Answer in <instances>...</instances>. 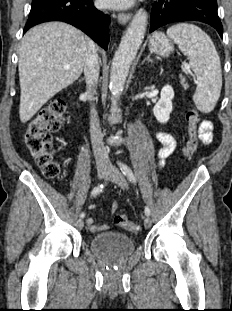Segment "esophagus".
I'll list each match as a JSON object with an SVG mask.
<instances>
[{
	"mask_svg": "<svg viewBox=\"0 0 232 311\" xmlns=\"http://www.w3.org/2000/svg\"><path fill=\"white\" fill-rule=\"evenodd\" d=\"M131 16H132V14L129 12L128 13L123 12V13H119L117 18H118V21L121 25H125L131 19Z\"/></svg>",
	"mask_w": 232,
	"mask_h": 311,
	"instance_id": "34e87169",
	"label": "esophagus"
}]
</instances>
